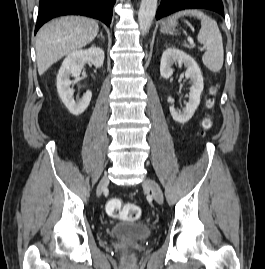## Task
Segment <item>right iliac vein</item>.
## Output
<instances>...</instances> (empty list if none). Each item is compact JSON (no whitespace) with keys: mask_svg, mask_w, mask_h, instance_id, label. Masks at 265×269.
I'll return each instance as SVG.
<instances>
[{"mask_svg":"<svg viewBox=\"0 0 265 269\" xmlns=\"http://www.w3.org/2000/svg\"><path fill=\"white\" fill-rule=\"evenodd\" d=\"M109 184V178L108 176H104L102 177V179L100 180L99 184H98V187H97V195L100 196L101 193H102V190L104 188L107 187V185Z\"/></svg>","mask_w":265,"mask_h":269,"instance_id":"63e3f726","label":"right iliac vein"}]
</instances>
